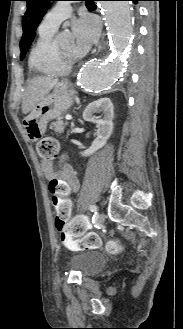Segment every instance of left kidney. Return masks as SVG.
Masks as SVG:
<instances>
[{
  "label": "left kidney",
  "mask_w": 183,
  "mask_h": 329,
  "mask_svg": "<svg viewBox=\"0 0 183 329\" xmlns=\"http://www.w3.org/2000/svg\"><path fill=\"white\" fill-rule=\"evenodd\" d=\"M113 103L109 98H100L90 103L83 112V119L88 122L96 123L97 137L93 141L90 149L81 152L82 156H90L100 148H102L113 131V118H114ZM103 112V119H98L94 113Z\"/></svg>",
  "instance_id": "left-kidney-1"
}]
</instances>
